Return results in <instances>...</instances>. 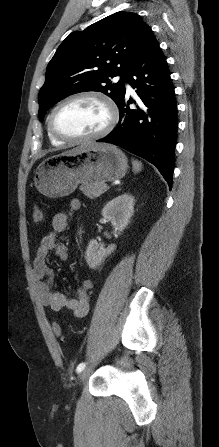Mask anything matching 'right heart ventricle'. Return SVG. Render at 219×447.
<instances>
[{"instance_id": "right-heart-ventricle-1", "label": "right heart ventricle", "mask_w": 219, "mask_h": 447, "mask_svg": "<svg viewBox=\"0 0 219 447\" xmlns=\"http://www.w3.org/2000/svg\"><path fill=\"white\" fill-rule=\"evenodd\" d=\"M47 132H48V137H49L51 143H53L54 145H60V144H62V141H61V140L57 139L56 137H54V136L50 133L49 128H47Z\"/></svg>"}]
</instances>
